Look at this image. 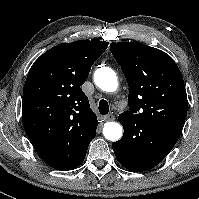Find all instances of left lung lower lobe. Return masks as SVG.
<instances>
[{
  "label": "left lung lower lobe",
  "instance_id": "1",
  "mask_svg": "<svg viewBox=\"0 0 199 199\" xmlns=\"http://www.w3.org/2000/svg\"><path fill=\"white\" fill-rule=\"evenodd\" d=\"M123 137L112 143L117 160L132 171H146L158 165L178 138L150 127L132 117L119 118Z\"/></svg>",
  "mask_w": 199,
  "mask_h": 199
}]
</instances>
